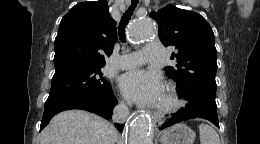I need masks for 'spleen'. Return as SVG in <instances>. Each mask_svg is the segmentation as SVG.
Wrapping results in <instances>:
<instances>
[{
  "instance_id": "3e777b00",
  "label": "spleen",
  "mask_w": 260,
  "mask_h": 144,
  "mask_svg": "<svg viewBox=\"0 0 260 144\" xmlns=\"http://www.w3.org/2000/svg\"><path fill=\"white\" fill-rule=\"evenodd\" d=\"M200 144H220L218 133L207 124L199 125Z\"/></svg>"
}]
</instances>
